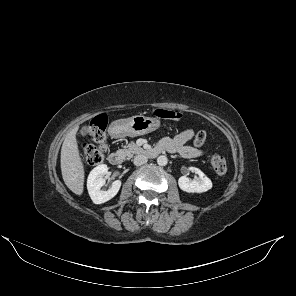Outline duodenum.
<instances>
[{"mask_svg":"<svg viewBox=\"0 0 296 296\" xmlns=\"http://www.w3.org/2000/svg\"><path fill=\"white\" fill-rule=\"evenodd\" d=\"M111 135L113 137L116 136V133L114 131L111 132ZM166 151L162 146H156V147H152L149 148L145 151V154L149 157V158H156L157 156H159L162 152ZM109 162L112 165H120L123 162V154L121 152L115 151L110 153L109 157Z\"/></svg>","mask_w":296,"mask_h":296,"instance_id":"410a0bca","label":"duodenum"}]
</instances>
